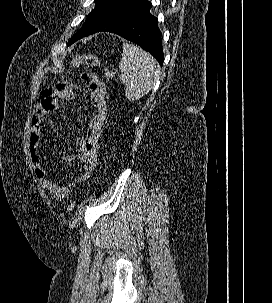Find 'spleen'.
Wrapping results in <instances>:
<instances>
[{
    "mask_svg": "<svg viewBox=\"0 0 272 303\" xmlns=\"http://www.w3.org/2000/svg\"><path fill=\"white\" fill-rule=\"evenodd\" d=\"M125 96L136 101L147 95L160 77V66L149 53L130 43L123 44L119 63Z\"/></svg>",
    "mask_w": 272,
    "mask_h": 303,
    "instance_id": "obj_1",
    "label": "spleen"
}]
</instances>
